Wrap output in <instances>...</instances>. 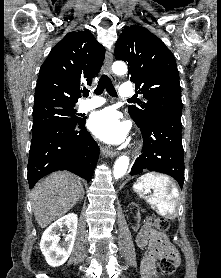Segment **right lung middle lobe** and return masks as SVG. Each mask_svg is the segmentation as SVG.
Returning <instances> with one entry per match:
<instances>
[{
	"label": "right lung middle lobe",
	"mask_w": 221,
	"mask_h": 278,
	"mask_svg": "<svg viewBox=\"0 0 221 278\" xmlns=\"http://www.w3.org/2000/svg\"><path fill=\"white\" fill-rule=\"evenodd\" d=\"M78 121L75 103L48 101L34 105L32 132L52 123L74 124Z\"/></svg>",
	"instance_id": "1"
}]
</instances>
